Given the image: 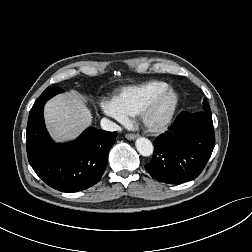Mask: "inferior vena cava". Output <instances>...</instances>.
<instances>
[{"mask_svg": "<svg viewBox=\"0 0 252 252\" xmlns=\"http://www.w3.org/2000/svg\"><path fill=\"white\" fill-rule=\"evenodd\" d=\"M101 128L106 131H121V127L107 118L101 120Z\"/></svg>", "mask_w": 252, "mask_h": 252, "instance_id": "602c4592", "label": "inferior vena cava"}]
</instances>
